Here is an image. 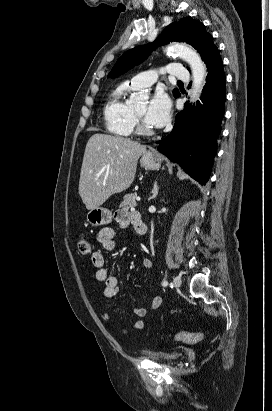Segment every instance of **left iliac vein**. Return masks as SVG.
Listing matches in <instances>:
<instances>
[{"label":"left iliac vein","mask_w":272,"mask_h":411,"mask_svg":"<svg viewBox=\"0 0 272 411\" xmlns=\"http://www.w3.org/2000/svg\"><path fill=\"white\" fill-rule=\"evenodd\" d=\"M173 284L175 287H180L182 284V280L180 277L176 276L173 280Z\"/></svg>","instance_id":"4c4485c4"}]
</instances>
